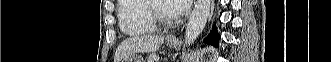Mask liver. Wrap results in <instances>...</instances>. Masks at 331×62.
<instances>
[{"label":"liver","instance_id":"1","mask_svg":"<svg viewBox=\"0 0 331 62\" xmlns=\"http://www.w3.org/2000/svg\"><path fill=\"white\" fill-rule=\"evenodd\" d=\"M164 36L144 35L125 39L117 48L114 62L121 60L132 53L156 52L163 44Z\"/></svg>","mask_w":331,"mask_h":62}]
</instances>
